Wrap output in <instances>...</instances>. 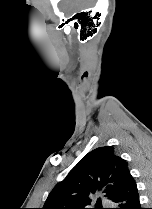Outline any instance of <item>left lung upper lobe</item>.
Returning <instances> with one entry per match:
<instances>
[{
    "instance_id": "obj_1",
    "label": "left lung upper lobe",
    "mask_w": 152,
    "mask_h": 209,
    "mask_svg": "<svg viewBox=\"0 0 152 209\" xmlns=\"http://www.w3.org/2000/svg\"><path fill=\"white\" fill-rule=\"evenodd\" d=\"M130 176L127 162L115 155L113 147L96 148L54 187L42 209H88L99 192L113 200ZM95 209H101L100 199Z\"/></svg>"
}]
</instances>
